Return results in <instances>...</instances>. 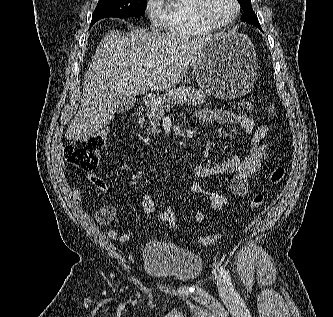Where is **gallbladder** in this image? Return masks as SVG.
Wrapping results in <instances>:
<instances>
[{
  "instance_id": "gallbladder-1",
  "label": "gallbladder",
  "mask_w": 333,
  "mask_h": 317,
  "mask_svg": "<svg viewBox=\"0 0 333 317\" xmlns=\"http://www.w3.org/2000/svg\"><path fill=\"white\" fill-rule=\"evenodd\" d=\"M135 101L133 96H117L112 101V105L116 113H124L134 106Z\"/></svg>"
}]
</instances>
